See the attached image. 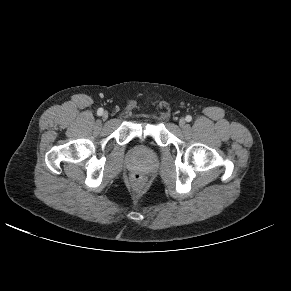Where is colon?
<instances>
[{"label":"colon","mask_w":291,"mask_h":291,"mask_svg":"<svg viewBox=\"0 0 291 291\" xmlns=\"http://www.w3.org/2000/svg\"><path fill=\"white\" fill-rule=\"evenodd\" d=\"M131 177H132V180H133L134 182H137V183H141V182H143V180H144V176L141 175V174H138V173L133 174Z\"/></svg>","instance_id":"colon-1"}]
</instances>
